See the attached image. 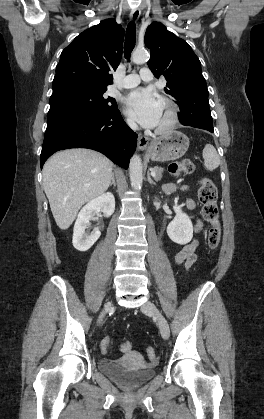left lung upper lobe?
<instances>
[{
    "mask_svg": "<svg viewBox=\"0 0 264 419\" xmlns=\"http://www.w3.org/2000/svg\"><path fill=\"white\" fill-rule=\"evenodd\" d=\"M144 41L151 51L149 68L155 77H165L164 90L177 100L180 109L208 99L201 63L186 41L158 22L147 27Z\"/></svg>",
    "mask_w": 264,
    "mask_h": 419,
    "instance_id": "left-lung-upper-lobe-1",
    "label": "left lung upper lobe"
}]
</instances>
